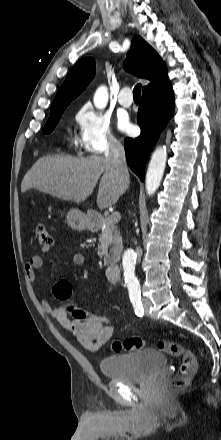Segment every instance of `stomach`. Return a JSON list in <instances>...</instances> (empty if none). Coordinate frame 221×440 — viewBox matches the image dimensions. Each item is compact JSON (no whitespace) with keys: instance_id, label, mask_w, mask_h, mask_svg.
Instances as JSON below:
<instances>
[{"instance_id":"stomach-1","label":"stomach","mask_w":221,"mask_h":440,"mask_svg":"<svg viewBox=\"0 0 221 440\" xmlns=\"http://www.w3.org/2000/svg\"><path fill=\"white\" fill-rule=\"evenodd\" d=\"M68 225L77 231H82L92 225L91 218L79 209H70L66 215Z\"/></svg>"}]
</instances>
